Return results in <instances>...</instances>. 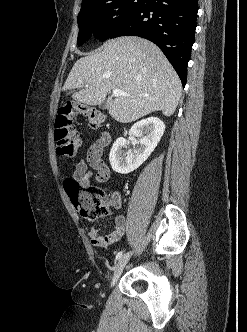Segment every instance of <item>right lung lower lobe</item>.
<instances>
[{
  "mask_svg": "<svg viewBox=\"0 0 247 332\" xmlns=\"http://www.w3.org/2000/svg\"><path fill=\"white\" fill-rule=\"evenodd\" d=\"M198 9V0H146L109 37L140 36L154 42L173 65L184 87Z\"/></svg>",
  "mask_w": 247,
  "mask_h": 332,
  "instance_id": "obj_1",
  "label": "right lung lower lobe"
}]
</instances>
